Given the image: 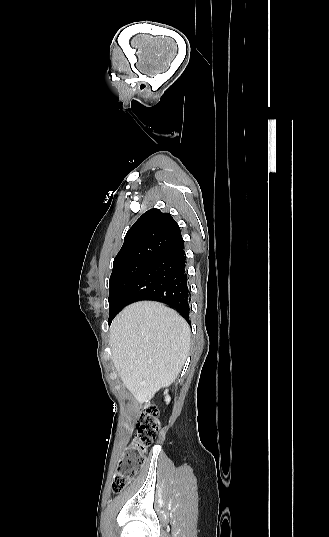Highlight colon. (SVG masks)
Here are the masks:
<instances>
[{
	"instance_id": "colon-1",
	"label": "colon",
	"mask_w": 329,
	"mask_h": 537,
	"mask_svg": "<svg viewBox=\"0 0 329 537\" xmlns=\"http://www.w3.org/2000/svg\"><path fill=\"white\" fill-rule=\"evenodd\" d=\"M161 428L156 406L146 404L136 423V433L127 444L112 479L114 493L122 492L137 476L145 461L148 447Z\"/></svg>"
}]
</instances>
